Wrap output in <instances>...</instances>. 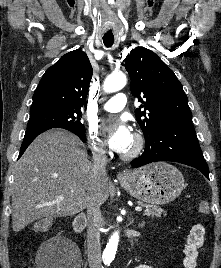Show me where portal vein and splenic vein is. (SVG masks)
Segmentation results:
<instances>
[{
    "label": "portal vein and splenic vein",
    "instance_id": "1",
    "mask_svg": "<svg viewBox=\"0 0 221 268\" xmlns=\"http://www.w3.org/2000/svg\"><path fill=\"white\" fill-rule=\"evenodd\" d=\"M63 198H64L63 196H60L58 199H59V200H62ZM135 210H136V211H142V207L137 206V207H135Z\"/></svg>",
    "mask_w": 221,
    "mask_h": 268
}]
</instances>
